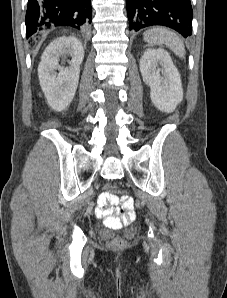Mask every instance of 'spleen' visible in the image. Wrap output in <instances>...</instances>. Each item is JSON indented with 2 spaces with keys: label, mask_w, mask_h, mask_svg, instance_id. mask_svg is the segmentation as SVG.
<instances>
[{
  "label": "spleen",
  "mask_w": 227,
  "mask_h": 298,
  "mask_svg": "<svg viewBox=\"0 0 227 298\" xmlns=\"http://www.w3.org/2000/svg\"><path fill=\"white\" fill-rule=\"evenodd\" d=\"M143 37H144V40L149 44H153V45L165 44L178 57L184 58V55H185L184 43L172 31L162 27H155L145 31L143 33Z\"/></svg>",
  "instance_id": "1"
}]
</instances>
